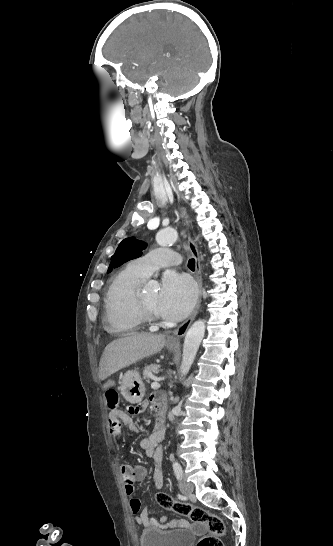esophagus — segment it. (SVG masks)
<instances>
[{
    "instance_id": "1",
    "label": "esophagus",
    "mask_w": 333,
    "mask_h": 546,
    "mask_svg": "<svg viewBox=\"0 0 333 546\" xmlns=\"http://www.w3.org/2000/svg\"><path fill=\"white\" fill-rule=\"evenodd\" d=\"M188 246L189 249L195 259V279L197 281L198 287H199V297L197 304L189 316L175 331L174 333L169 337L168 342L170 344L179 345L181 338L185 335L187 332L189 326L195 319L201 303V296H202V271H201V264H200V256L199 251L197 248V245L195 244L194 240L191 238V236L188 237Z\"/></svg>"
}]
</instances>
